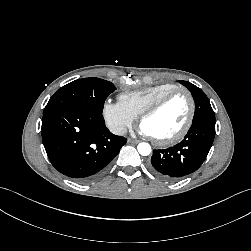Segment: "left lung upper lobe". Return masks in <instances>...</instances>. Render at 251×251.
I'll use <instances>...</instances> for the list:
<instances>
[{
    "mask_svg": "<svg viewBox=\"0 0 251 251\" xmlns=\"http://www.w3.org/2000/svg\"><path fill=\"white\" fill-rule=\"evenodd\" d=\"M179 82L189 89L195 100V114L193 117V122L202 118L215 119L214 111L205 93L200 88L188 81Z\"/></svg>",
    "mask_w": 251,
    "mask_h": 251,
    "instance_id": "1",
    "label": "left lung upper lobe"
}]
</instances>
